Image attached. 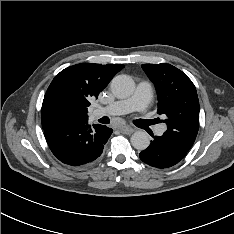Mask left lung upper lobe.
<instances>
[{
    "instance_id": "1",
    "label": "left lung upper lobe",
    "mask_w": 234,
    "mask_h": 234,
    "mask_svg": "<svg viewBox=\"0 0 234 234\" xmlns=\"http://www.w3.org/2000/svg\"><path fill=\"white\" fill-rule=\"evenodd\" d=\"M141 67L155 85L157 112L166 116L165 134L189 150L199 129V100L193 82L170 64H143Z\"/></svg>"
}]
</instances>
